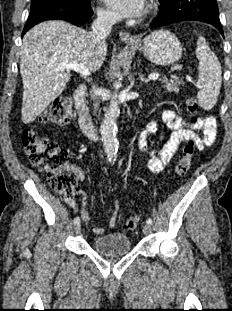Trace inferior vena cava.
Returning a JSON list of instances; mask_svg holds the SVG:
<instances>
[{"instance_id": "1", "label": "inferior vena cava", "mask_w": 232, "mask_h": 311, "mask_svg": "<svg viewBox=\"0 0 232 311\" xmlns=\"http://www.w3.org/2000/svg\"><path fill=\"white\" fill-rule=\"evenodd\" d=\"M118 15L114 13H105L99 12L97 19L92 24V31L90 33V38L94 45H101L105 42V39L110 34L112 26L118 20ZM92 99L94 102V113L99 107L98 100V89L93 86V90L91 91Z\"/></svg>"}]
</instances>
